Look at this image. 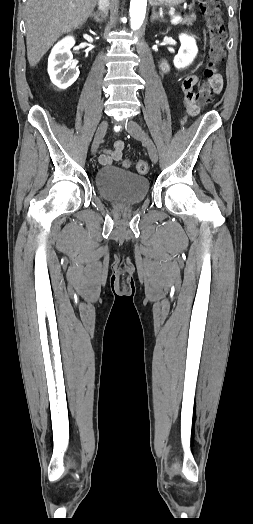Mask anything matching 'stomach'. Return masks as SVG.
Returning <instances> with one entry per match:
<instances>
[{
  "label": "stomach",
  "instance_id": "0dacf381",
  "mask_svg": "<svg viewBox=\"0 0 253 524\" xmlns=\"http://www.w3.org/2000/svg\"><path fill=\"white\" fill-rule=\"evenodd\" d=\"M185 0H154V5L159 6H176L183 3Z\"/></svg>",
  "mask_w": 253,
  "mask_h": 524
}]
</instances>
